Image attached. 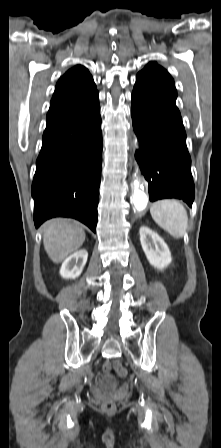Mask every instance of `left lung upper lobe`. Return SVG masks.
Wrapping results in <instances>:
<instances>
[{
	"mask_svg": "<svg viewBox=\"0 0 221 448\" xmlns=\"http://www.w3.org/2000/svg\"><path fill=\"white\" fill-rule=\"evenodd\" d=\"M134 87L175 104L177 91L169 73L156 62H149L136 76ZM176 105V104H175Z\"/></svg>",
	"mask_w": 221,
	"mask_h": 448,
	"instance_id": "obj_1",
	"label": "left lung upper lobe"
}]
</instances>
